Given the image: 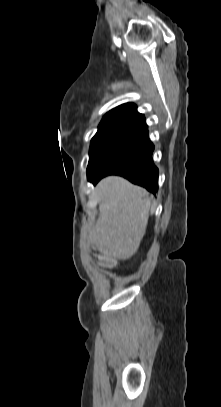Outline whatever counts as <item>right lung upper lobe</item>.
<instances>
[{
	"label": "right lung upper lobe",
	"mask_w": 221,
	"mask_h": 407,
	"mask_svg": "<svg viewBox=\"0 0 221 407\" xmlns=\"http://www.w3.org/2000/svg\"><path fill=\"white\" fill-rule=\"evenodd\" d=\"M145 125V118L137 112L136 105L127 103L109 111L100 122L98 131L117 127H135L140 129Z\"/></svg>",
	"instance_id": "right-lung-upper-lobe-1"
}]
</instances>
